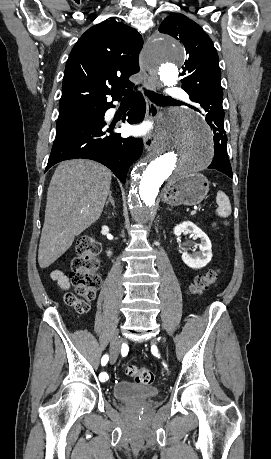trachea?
Instances as JSON below:
<instances>
[{"instance_id": "obj_1", "label": "trachea", "mask_w": 271, "mask_h": 459, "mask_svg": "<svg viewBox=\"0 0 271 459\" xmlns=\"http://www.w3.org/2000/svg\"><path fill=\"white\" fill-rule=\"evenodd\" d=\"M119 93H121V95L124 96L123 102H134L135 96H134V91L133 90L122 89V90H120ZM144 93L152 102H155L158 105H162L168 99H170V97H165L164 95H159L157 93L152 92L151 90H147L146 88L144 89Z\"/></svg>"}]
</instances>
